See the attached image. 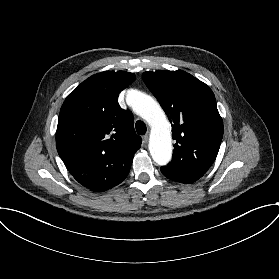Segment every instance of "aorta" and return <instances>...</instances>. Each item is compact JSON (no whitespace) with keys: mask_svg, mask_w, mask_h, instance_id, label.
Returning <instances> with one entry per match:
<instances>
[{"mask_svg":"<svg viewBox=\"0 0 279 279\" xmlns=\"http://www.w3.org/2000/svg\"><path fill=\"white\" fill-rule=\"evenodd\" d=\"M129 104L150 126L149 151L153 160L163 166L172 157L171 124L160 105L149 95L133 91Z\"/></svg>","mask_w":279,"mask_h":279,"instance_id":"762f6f07","label":"aorta"}]
</instances>
